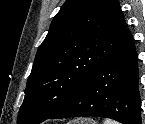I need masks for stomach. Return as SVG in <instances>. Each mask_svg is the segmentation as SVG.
I'll use <instances>...</instances> for the list:
<instances>
[{"mask_svg":"<svg viewBox=\"0 0 145 124\" xmlns=\"http://www.w3.org/2000/svg\"><path fill=\"white\" fill-rule=\"evenodd\" d=\"M80 124H96V123L90 119H84L81 121Z\"/></svg>","mask_w":145,"mask_h":124,"instance_id":"obj_1","label":"stomach"}]
</instances>
